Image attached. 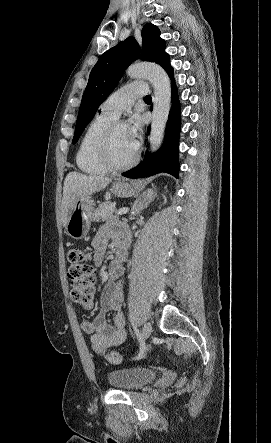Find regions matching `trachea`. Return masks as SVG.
I'll return each instance as SVG.
<instances>
[{
	"label": "trachea",
	"instance_id": "obj_1",
	"mask_svg": "<svg viewBox=\"0 0 271 443\" xmlns=\"http://www.w3.org/2000/svg\"><path fill=\"white\" fill-rule=\"evenodd\" d=\"M144 100L145 101H151L152 100V98H151V96L150 95H147L145 98H144Z\"/></svg>",
	"mask_w": 271,
	"mask_h": 443
}]
</instances>
